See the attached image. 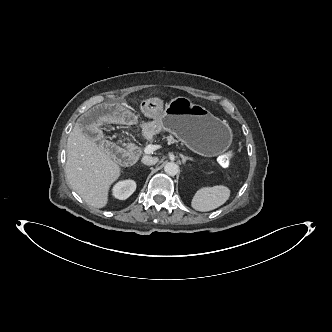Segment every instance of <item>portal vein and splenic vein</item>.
Segmentation results:
<instances>
[{"label": "portal vein and splenic vein", "instance_id": "portal-vein-and-splenic-vein-1", "mask_svg": "<svg viewBox=\"0 0 332 332\" xmlns=\"http://www.w3.org/2000/svg\"><path fill=\"white\" fill-rule=\"evenodd\" d=\"M162 146L161 145H152V144H149L145 147L144 149V152L146 154H150L152 153L153 151L157 150V149H160Z\"/></svg>", "mask_w": 332, "mask_h": 332}]
</instances>
